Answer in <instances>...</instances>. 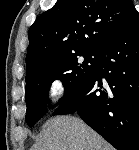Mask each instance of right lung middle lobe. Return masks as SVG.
Instances as JSON below:
<instances>
[{
	"mask_svg": "<svg viewBox=\"0 0 139 150\" xmlns=\"http://www.w3.org/2000/svg\"><path fill=\"white\" fill-rule=\"evenodd\" d=\"M99 51H83L61 56L26 76V122L32 127L47 112L48 90L55 79L65 87V96L83 84L93 73Z\"/></svg>",
	"mask_w": 139,
	"mask_h": 150,
	"instance_id": "dd1d6c3e",
	"label": "right lung middle lobe"
}]
</instances>
